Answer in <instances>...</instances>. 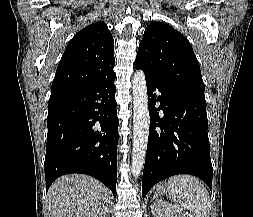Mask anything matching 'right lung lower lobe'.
I'll list each match as a JSON object with an SVG mask.
<instances>
[{"instance_id": "obj_1", "label": "right lung lower lobe", "mask_w": 253, "mask_h": 217, "mask_svg": "<svg viewBox=\"0 0 253 217\" xmlns=\"http://www.w3.org/2000/svg\"><path fill=\"white\" fill-rule=\"evenodd\" d=\"M115 78L111 71L81 89L50 97L46 190L61 175L83 173L97 178L115 194L119 139Z\"/></svg>"}]
</instances>
